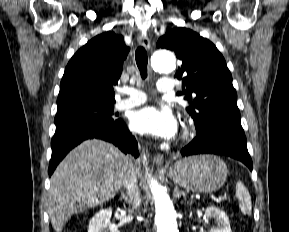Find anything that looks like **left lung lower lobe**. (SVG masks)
Segmentation results:
<instances>
[{
    "label": "left lung lower lobe",
    "mask_w": 289,
    "mask_h": 232,
    "mask_svg": "<svg viewBox=\"0 0 289 232\" xmlns=\"http://www.w3.org/2000/svg\"><path fill=\"white\" fill-rule=\"evenodd\" d=\"M182 156L218 154L243 162L252 171V160L247 150L242 126H219L201 133L181 150Z\"/></svg>",
    "instance_id": "0a47b994"
}]
</instances>
